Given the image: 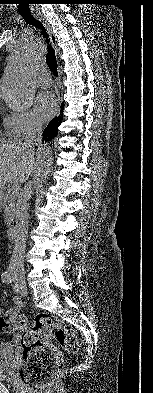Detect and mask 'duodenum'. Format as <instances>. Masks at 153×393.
<instances>
[{
    "label": "duodenum",
    "instance_id": "1",
    "mask_svg": "<svg viewBox=\"0 0 153 393\" xmlns=\"http://www.w3.org/2000/svg\"><path fill=\"white\" fill-rule=\"evenodd\" d=\"M17 227L15 226V225H11L9 228H8V231H7V234H8V237L11 239V240H16L17 239Z\"/></svg>",
    "mask_w": 153,
    "mask_h": 393
}]
</instances>
